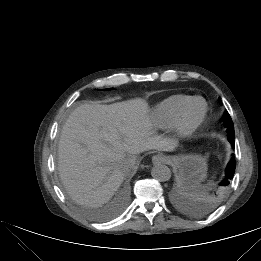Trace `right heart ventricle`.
Segmentation results:
<instances>
[{
	"mask_svg": "<svg viewBox=\"0 0 261 261\" xmlns=\"http://www.w3.org/2000/svg\"><path fill=\"white\" fill-rule=\"evenodd\" d=\"M190 95L177 94L160 101L153 109V122L157 128L174 124L181 109L192 99Z\"/></svg>",
	"mask_w": 261,
	"mask_h": 261,
	"instance_id": "right-heart-ventricle-1",
	"label": "right heart ventricle"
}]
</instances>
